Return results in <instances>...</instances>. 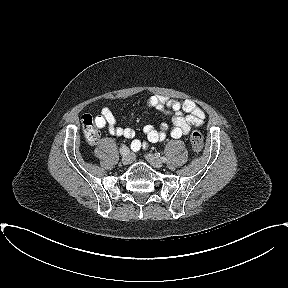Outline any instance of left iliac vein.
I'll return each mask as SVG.
<instances>
[{
  "label": "left iliac vein",
  "instance_id": "left-iliac-vein-1",
  "mask_svg": "<svg viewBox=\"0 0 288 288\" xmlns=\"http://www.w3.org/2000/svg\"><path fill=\"white\" fill-rule=\"evenodd\" d=\"M145 158L155 168H161L163 166L162 161L159 159L158 156L154 154L148 153L146 154Z\"/></svg>",
  "mask_w": 288,
  "mask_h": 288
}]
</instances>
